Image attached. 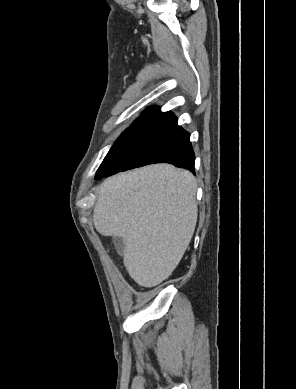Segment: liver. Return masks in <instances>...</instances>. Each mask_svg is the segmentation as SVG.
Listing matches in <instances>:
<instances>
[{
	"label": "liver",
	"instance_id": "6515ba94",
	"mask_svg": "<svg viewBox=\"0 0 296 389\" xmlns=\"http://www.w3.org/2000/svg\"><path fill=\"white\" fill-rule=\"evenodd\" d=\"M194 176L170 164L115 175L97 191L93 222L125 243L124 266L140 286L166 280L193 236L198 208Z\"/></svg>",
	"mask_w": 296,
	"mask_h": 389
}]
</instances>
